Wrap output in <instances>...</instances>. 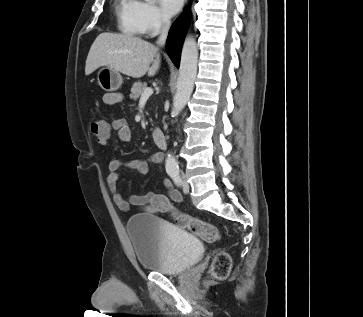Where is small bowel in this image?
<instances>
[{"label": "small bowel", "instance_id": "c3829d8e", "mask_svg": "<svg viewBox=\"0 0 363 317\" xmlns=\"http://www.w3.org/2000/svg\"><path fill=\"white\" fill-rule=\"evenodd\" d=\"M122 99V95L118 92H109L103 95V102L108 106H115ZM105 127L104 133L97 136V140L101 145H107L109 143L113 132L116 133L120 142L126 143L132 140V131L122 118H113L110 123H105ZM162 162L163 156L160 153L153 154L148 160L133 159L123 161L121 159H112L109 161L107 184L112 193L113 201L120 210L127 211L130 205H133L147 213L160 214L168 212V206H171V201L180 202L182 200V194L172 187L169 179L163 180V185L168 191V196L156 193L134 194L130 196L129 200H126L118 191L117 181L121 168L137 170L142 174H147L149 171V163L160 166Z\"/></svg>", "mask_w": 363, "mask_h": 317}]
</instances>
